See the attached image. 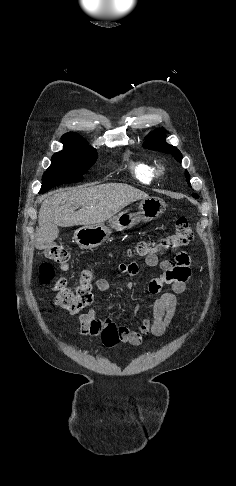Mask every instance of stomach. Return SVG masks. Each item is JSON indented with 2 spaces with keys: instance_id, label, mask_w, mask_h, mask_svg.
<instances>
[{
  "instance_id": "0dacf381",
  "label": "stomach",
  "mask_w": 236,
  "mask_h": 486,
  "mask_svg": "<svg viewBox=\"0 0 236 486\" xmlns=\"http://www.w3.org/2000/svg\"><path fill=\"white\" fill-rule=\"evenodd\" d=\"M138 213L122 211L110 218V226L117 231L130 229L140 222L159 218L166 210L165 202L158 197L142 199ZM111 234V229L104 224L85 225L74 232V240L82 249H93L105 242Z\"/></svg>"
}]
</instances>
